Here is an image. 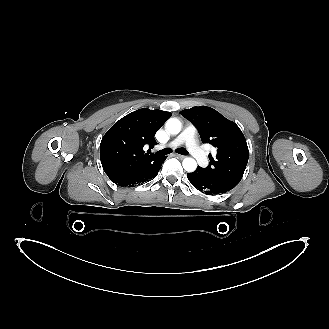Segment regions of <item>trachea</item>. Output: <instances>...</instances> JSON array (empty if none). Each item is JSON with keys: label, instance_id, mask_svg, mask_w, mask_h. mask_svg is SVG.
<instances>
[{"label": "trachea", "instance_id": "1", "mask_svg": "<svg viewBox=\"0 0 329 329\" xmlns=\"http://www.w3.org/2000/svg\"><path fill=\"white\" fill-rule=\"evenodd\" d=\"M170 152H171V151H170L169 149L165 148V149H162V150L158 151L156 154H157L158 156H165V155L169 154ZM176 152L179 153V154H182V155H186V154H188L187 150H185V149H183V148H178V149L176 150Z\"/></svg>", "mask_w": 329, "mask_h": 329}]
</instances>
